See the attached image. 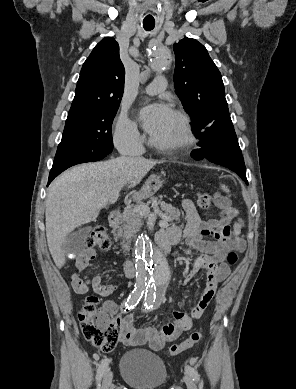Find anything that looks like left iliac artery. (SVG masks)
Here are the masks:
<instances>
[{
    "label": "left iliac artery",
    "mask_w": 296,
    "mask_h": 389,
    "mask_svg": "<svg viewBox=\"0 0 296 389\" xmlns=\"http://www.w3.org/2000/svg\"><path fill=\"white\" fill-rule=\"evenodd\" d=\"M149 299V292L148 290L146 289V293H145V300L148 301ZM144 306H146V308H149L147 306V303L144 304ZM185 370L186 372L193 378L194 381L198 382L199 383V389H202L203 388V385H202V381L200 379V375L199 373L191 366H186L185 367Z\"/></svg>",
    "instance_id": "left-iliac-artery-1"
}]
</instances>
